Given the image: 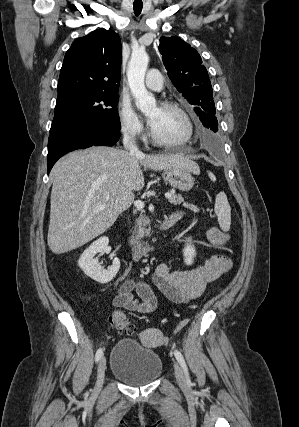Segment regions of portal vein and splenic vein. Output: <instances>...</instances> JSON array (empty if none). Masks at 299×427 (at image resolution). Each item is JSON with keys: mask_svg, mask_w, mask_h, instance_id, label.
Wrapping results in <instances>:
<instances>
[{"mask_svg": "<svg viewBox=\"0 0 299 427\" xmlns=\"http://www.w3.org/2000/svg\"><path fill=\"white\" fill-rule=\"evenodd\" d=\"M165 197H166V198H170V197H171V194H170V193H167V194L165 195ZM134 206H135L137 209H142V208L144 207V202H143V201H141V200H137V201H135V202H134ZM104 207H105V204H102V205L98 206L97 208H98V209H103Z\"/></svg>", "mask_w": 299, "mask_h": 427, "instance_id": "obj_1", "label": "portal vein and splenic vein"}]
</instances>
